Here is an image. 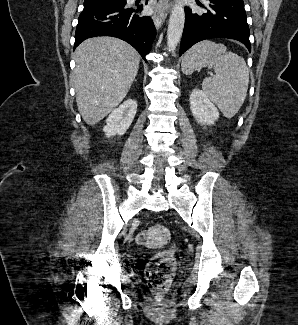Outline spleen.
Wrapping results in <instances>:
<instances>
[{"instance_id": "obj_1", "label": "spleen", "mask_w": 298, "mask_h": 325, "mask_svg": "<svg viewBox=\"0 0 298 325\" xmlns=\"http://www.w3.org/2000/svg\"><path fill=\"white\" fill-rule=\"evenodd\" d=\"M213 68L216 74L206 76L202 82L207 98L217 104L226 118H232L241 108L249 84L248 66L235 52H228L225 44L201 40L191 46L182 62V72L192 74L195 68Z\"/></svg>"}]
</instances>
